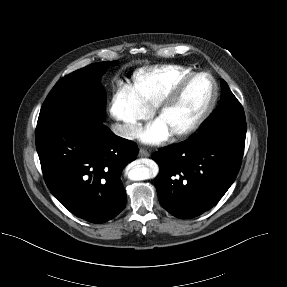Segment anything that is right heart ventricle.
<instances>
[{
  "label": "right heart ventricle",
  "mask_w": 287,
  "mask_h": 287,
  "mask_svg": "<svg viewBox=\"0 0 287 287\" xmlns=\"http://www.w3.org/2000/svg\"><path fill=\"white\" fill-rule=\"evenodd\" d=\"M191 73L190 67L181 65L142 68L133 74L130 87L141 107L150 112L181 79Z\"/></svg>",
  "instance_id": "1"
}]
</instances>
